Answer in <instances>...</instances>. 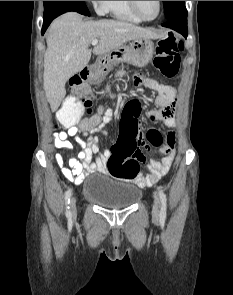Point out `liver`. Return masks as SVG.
<instances>
[{"label":"liver","mask_w":233,"mask_h":295,"mask_svg":"<svg viewBox=\"0 0 233 295\" xmlns=\"http://www.w3.org/2000/svg\"><path fill=\"white\" fill-rule=\"evenodd\" d=\"M140 37L157 39L159 35L124 21L103 19L84 22L76 12H67L56 18L46 39L43 74V86L52 112L59 108L65 97L67 80L88 65L92 40H99L93 54L103 55Z\"/></svg>","instance_id":"1"}]
</instances>
